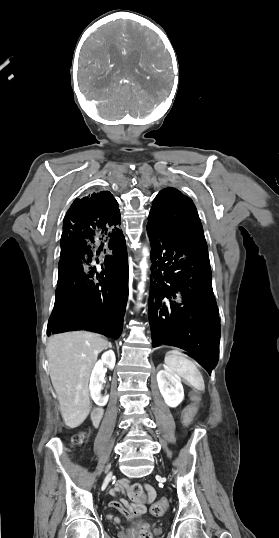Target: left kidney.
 I'll use <instances>...</instances> for the list:
<instances>
[{"mask_svg":"<svg viewBox=\"0 0 279 538\" xmlns=\"http://www.w3.org/2000/svg\"><path fill=\"white\" fill-rule=\"evenodd\" d=\"M157 382L160 394H162L167 406L170 408L179 406L184 400V390L179 376L169 368H164L158 372Z\"/></svg>","mask_w":279,"mask_h":538,"instance_id":"obj_1","label":"left kidney"}]
</instances>
